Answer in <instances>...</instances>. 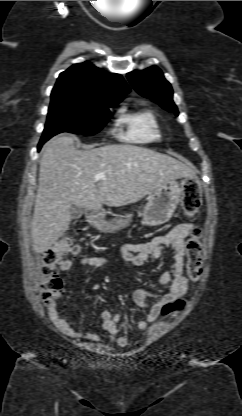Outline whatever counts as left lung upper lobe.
<instances>
[{
	"label": "left lung upper lobe",
	"mask_w": 242,
	"mask_h": 416,
	"mask_svg": "<svg viewBox=\"0 0 242 416\" xmlns=\"http://www.w3.org/2000/svg\"><path fill=\"white\" fill-rule=\"evenodd\" d=\"M133 88L142 96L159 103L165 110L178 115L173 102V90L162 72L153 66L143 71H133L127 74Z\"/></svg>",
	"instance_id": "5c2ea615"
}]
</instances>
